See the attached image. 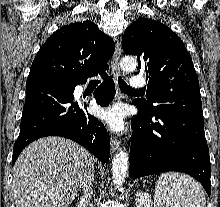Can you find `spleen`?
<instances>
[{"label":"spleen","mask_w":220,"mask_h":207,"mask_svg":"<svg viewBox=\"0 0 220 207\" xmlns=\"http://www.w3.org/2000/svg\"><path fill=\"white\" fill-rule=\"evenodd\" d=\"M155 207H206L200 184L192 177L177 172L162 174L155 187Z\"/></svg>","instance_id":"spleen-1"}]
</instances>
